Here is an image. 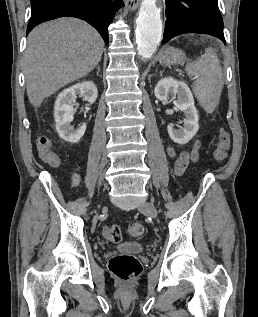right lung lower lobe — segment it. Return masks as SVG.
Segmentation results:
<instances>
[{
  "label": "right lung lower lobe",
  "mask_w": 258,
  "mask_h": 317,
  "mask_svg": "<svg viewBox=\"0 0 258 317\" xmlns=\"http://www.w3.org/2000/svg\"><path fill=\"white\" fill-rule=\"evenodd\" d=\"M122 0H31V18L28 33L40 23L70 16L91 24L108 45V26Z\"/></svg>",
  "instance_id": "obj_1"
}]
</instances>
